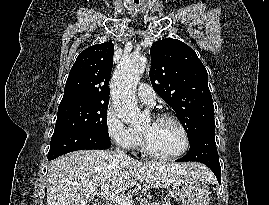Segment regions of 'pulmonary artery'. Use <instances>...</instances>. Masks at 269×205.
<instances>
[{"label":"pulmonary artery","mask_w":269,"mask_h":205,"mask_svg":"<svg viewBox=\"0 0 269 205\" xmlns=\"http://www.w3.org/2000/svg\"><path fill=\"white\" fill-rule=\"evenodd\" d=\"M137 95L139 99L148 105H153L156 100V93L148 84H141L138 87Z\"/></svg>","instance_id":"obj_1"}]
</instances>
